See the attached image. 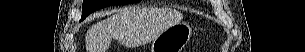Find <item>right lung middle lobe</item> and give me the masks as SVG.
I'll return each mask as SVG.
<instances>
[{"label":"right lung middle lobe","instance_id":"dd1d6c3e","mask_svg":"<svg viewBox=\"0 0 305 52\" xmlns=\"http://www.w3.org/2000/svg\"><path fill=\"white\" fill-rule=\"evenodd\" d=\"M141 0H84L82 5V17L84 20L92 12L112 5H126L128 3H135Z\"/></svg>","mask_w":305,"mask_h":52}]
</instances>
